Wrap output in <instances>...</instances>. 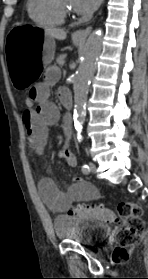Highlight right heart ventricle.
<instances>
[{
  "mask_svg": "<svg viewBox=\"0 0 148 279\" xmlns=\"http://www.w3.org/2000/svg\"><path fill=\"white\" fill-rule=\"evenodd\" d=\"M26 7L30 18L39 25L53 27L64 22L55 0H27Z\"/></svg>",
  "mask_w": 148,
  "mask_h": 279,
  "instance_id": "1",
  "label": "right heart ventricle"
}]
</instances>
